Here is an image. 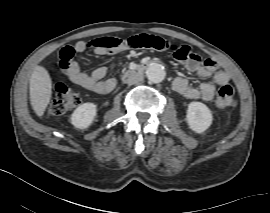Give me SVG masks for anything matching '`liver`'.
Returning <instances> with one entry per match:
<instances>
[{
	"label": "liver",
	"instance_id": "6515ba94",
	"mask_svg": "<svg viewBox=\"0 0 270 213\" xmlns=\"http://www.w3.org/2000/svg\"><path fill=\"white\" fill-rule=\"evenodd\" d=\"M30 101L35 113L43 116L52 96V80L48 71L37 65L29 82Z\"/></svg>",
	"mask_w": 270,
	"mask_h": 213
}]
</instances>
